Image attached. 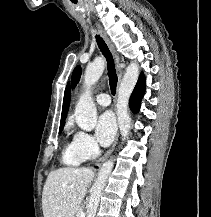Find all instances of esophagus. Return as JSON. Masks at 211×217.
<instances>
[{"label":"esophagus","instance_id":"esophagus-1","mask_svg":"<svg viewBox=\"0 0 211 217\" xmlns=\"http://www.w3.org/2000/svg\"><path fill=\"white\" fill-rule=\"evenodd\" d=\"M96 26L98 28V31H99L100 35L102 36V38L106 42L108 48L110 49V51H111V53L113 55V58L115 60V63H116V66H117L118 87H119V85L121 83V80H122V77H123V71L120 68L119 54L116 51V49H115L113 43L111 42L110 38L108 37L107 33L103 30V28L98 23H96ZM118 138H119V132L117 133L115 141H114L113 145L111 146V148L103 156H101L97 160V163H96L97 165H100L101 163H103L110 156V154L113 152V150H114V148H115V146H116V144L118 142Z\"/></svg>","mask_w":211,"mask_h":217}]
</instances>
